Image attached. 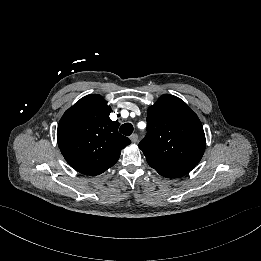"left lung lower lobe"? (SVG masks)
<instances>
[{
	"instance_id": "left-lung-lower-lobe-1",
	"label": "left lung lower lobe",
	"mask_w": 261,
	"mask_h": 261,
	"mask_svg": "<svg viewBox=\"0 0 261 261\" xmlns=\"http://www.w3.org/2000/svg\"><path fill=\"white\" fill-rule=\"evenodd\" d=\"M165 177L174 178V177H170V176H165Z\"/></svg>"
}]
</instances>
